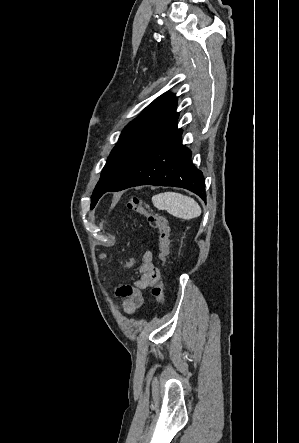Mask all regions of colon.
I'll return each instance as SVG.
<instances>
[{"label": "colon", "mask_w": 299, "mask_h": 443, "mask_svg": "<svg viewBox=\"0 0 299 443\" xmlns=\"http://www.w3.org/2000/svg\"><path fill=\"white\" fill-rule=\"evenodd\" d=\"M127 207L129 210L142 215L152 228L158 230L159 259L161 264L164 265L169 254L170 245V228L167 219L158 213L149 211L143 206L140 198L137 196H132L128 200ZM152 295L159 300L162 307H165L166 299L163 293V283L161 279H159L153 287Z\"/></svg>", "instance_id": "1"}]
</instances>
